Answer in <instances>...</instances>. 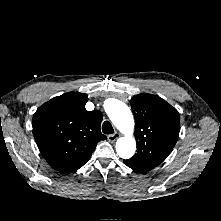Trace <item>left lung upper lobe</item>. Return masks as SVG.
I'll use <instances>...</instances> for the list:
<instances>
[{
  "mask_svg": "<svg viewBox=\"0 0 221 221\" xmlns=\"http://www.w3.org/2000/svg\"><path fill=\"white\" fill-rule=\"evenodd\" d=\"M131 108L137 153L130 160L155 167L168 157L178 140L179 113L159 96L146 93L133 96Z\"/></svg>",
  "mask_w": 221,
  "mask_h": 221,
  "instance_id": "5c2ea615",
  "label": "left lung upper lobe"
}]
</instances>
